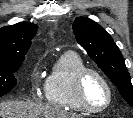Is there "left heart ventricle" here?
<instances>
[{"label": "left heart ventricle", "instance_id": "left-heart-ventricle-1", "mask_svg": "<svg viewBox=\"0 0 133 118\" xmlns=\"http://www.w3.org/2000/svg\"><path fill=\"white\" fill-rule=\"evenodd\" d=\"M85 97L90 106L100 108L104 106L108 99L106 86L100 78L90 74L85 81Z\"/></svg>", "mask_w": 133, "mask_h": 118}]
</instances>
